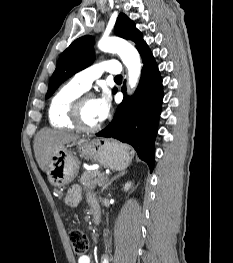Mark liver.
Masks as SVG:
<instances>
[{"label": "liver", "mask_w": 233, "mask_h": 263, "mask_svg": "<svg viewBox=\"0 0 233 263\" xmlns=\"http://www.w3.org/2000/svg\"><path fill=\"white\" fill-rule=\"evenodd\" d=\"M79 139L77 134L61 130L44 128L40 130L34 139V152L37 163L43 172H47L52 156L64 144Z\"/></svg>", "instance_id": "obj_1"}]
</instances>
